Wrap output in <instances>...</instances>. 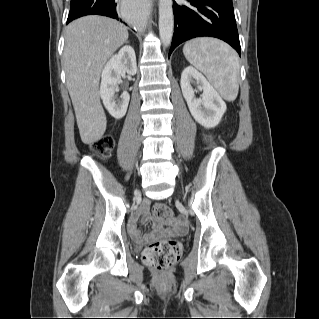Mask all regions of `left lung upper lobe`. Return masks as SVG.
<instances>
[{
    "instance_id": "1",
    "label": "left lung upper lobe",
    "mask_w": 319,
    "mask_h": 319,
    "mask_svg": "<svg viewBox=\"0 0 319 319\" xmlns=\"http://www.w3.org/2000/svg\"><path fill=\"white\" fill-rule=\"evenodd\" d=\"M225 1H227V2H231V3H232V0H225Z\"/></svg>"
}]
</instances>
